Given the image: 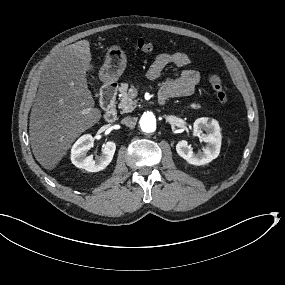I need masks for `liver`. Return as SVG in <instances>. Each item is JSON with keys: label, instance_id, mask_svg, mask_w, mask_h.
<instances>
[{"label": "liver", "instance_id": "6515ba94", "mask_svg": "<svg viewBox=\"0 0 285 285\" xmlns=\"http://www.w3.org/2000/svg\"><path fill=\"white\" fill-rule=\"evenodd\" d=\"M91 59L89 41L80 40L47 61L29 122L32 152L45 169H54L75 139L101 118L86 78Z\"/></svg>", "mask_w": 285, "mask_h": 285}]
</instances>
